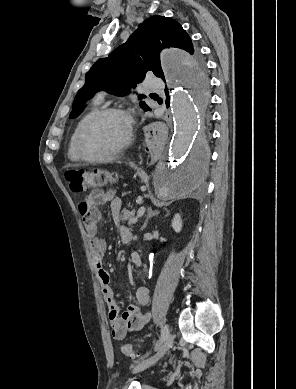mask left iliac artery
I'll return each mask as SVG.
<instances>
[{"instance_id":"left-iliac-artery-1","label":"left iliac artery","mask_w":296,"mask_h":389,"mask_svg":"<svg viewBox=\"0 0 296 389\" xmlns=\"http://www.w3.org/2000/svg\"><path fill=\"white\" fill-rule=\"evenodd\" d=\"M169 332V329H168V326H163L162 330H161V340H163L166 335L168 334Z\"/></svg>"}]
</instances>
